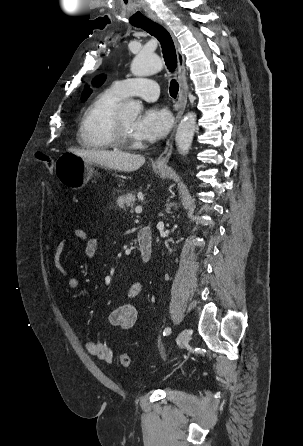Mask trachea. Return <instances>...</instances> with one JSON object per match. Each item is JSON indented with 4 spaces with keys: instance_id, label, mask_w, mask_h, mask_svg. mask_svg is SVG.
Instances as JSON below:
<instances>
[{
    "instance_id": "1",
    "label": "trachea",
    "mask_w": 303,
    "mask_h": 446,
    "mask_svg": "<svg viewBox=\"0 0 303 446\" xmlns=\"http://www.w3.org/2000/svg\"><path fill=\"white\" fill-rule=\"evenodd\" d=\"M143 30L147 31L152 36L156 37L161 44L164 61L168 70L173 73L177 66V56L175 46L169 32L161 25L155 23L152 20H147L135 25ZM170 95L173 98L177 97L179 91V85L175 79L170 82Z\"/></svg>"
}]
</instances>
